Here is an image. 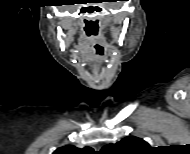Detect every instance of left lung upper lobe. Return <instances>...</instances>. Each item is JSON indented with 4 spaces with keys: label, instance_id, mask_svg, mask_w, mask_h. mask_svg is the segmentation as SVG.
Masks as SVG:
<instances>
[{
    "label": "left lung upper lobe",
    "instance_id": "left-lung-upper-lobe-1",
    "mask_svg": "<svg viewBox=\"0 0 190 154\" xmlns=\"http://www.w3.org/2000/svg\"><path fill=\"white\" fill-rule=\"evenodd\" d=\"M150 149L143 139L137 137H126L116 144H108L102 148L107 154H137Z\"/></svg>",
    "mask_w": 190,
    "mask_h": 154
}]
</instances>
